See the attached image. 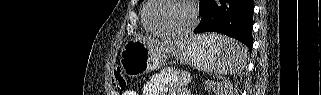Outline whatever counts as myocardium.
Instances as JSON below:
<instances>
[{
    "mask_svg": "<svg viewBox=\"0 0 321 95\" xmlns=\"http://www.w3.org/2000/svg\"><path fill=\"white\" fill-rule=\"evenodd\" d=\"M157 1H159V0H148L146 6L144 8V11H143V22L145 24V27L152 34L157 35V36H165V37L184 36V35L189 34L194 29V27L196 26L197 21H198V9H197V5H196L195 1H193V0H181L188 5V7L190 9V14H191L190 23L185 29H182L179 31H163V30H158V29L154 28L149 22L148 13H149L151 6L153 4H155Z\"/></svg>",
    "mask_w": 321,
    "mask_h": 95,
    "instance_id": "obj_1",
    "label": "myocardium"
}]
</instances>
